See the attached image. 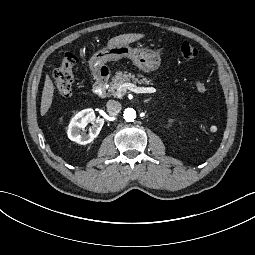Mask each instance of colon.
Instances as JSON below:
<instances>
[{"mask_svg": "<svg viewBox=\"0 0 255 255\" xmlns=\"http://www.w3.org/2000/svg\"><path fill=\"white\" fill-rule=\"evenodd\" d=\"M180 53L186 60L196 58L198 50L196 47L188 42H183L180 46ZM77 62V57L74 53H66L59 66L54 71V79L56 85V91L60 97H68L72 93L74 84V67ZM207 89L206 84L203 82L197 83V90L199 92H205Z\"/></svg>", "mask_w": 255, "mask_h": 255, "instance_id": "5ec220e1", "label": "colon"}]
</instances>
